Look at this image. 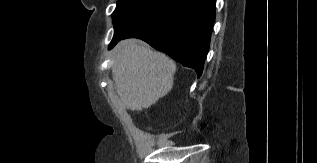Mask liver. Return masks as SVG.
Segmentation results:
<instances>
[{"label":"liver","mask_w":317,"mask_h":163,"mask_svg":"<svg viewBox=\"0 0 317 163\" xmlns=\"http://www.w3.org/2000/svg\"><path fill=\"white\" fill-rule=\"evenodd\" d=\"M115 52L112 77L125 108H148L172 89L176 65L165 54L134 39L119 42Z\"/></svg>","instance_id":"6515ba94"}]
</instances>
